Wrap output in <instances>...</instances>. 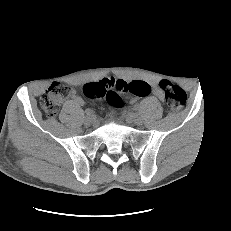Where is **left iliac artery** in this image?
Segmentation results:
<instances>
[{"mask_svg":"<svg viewBox=\"0 0 231 231\" xmlns=\"http://www.w3.org/2000/svg\"><path fill=\"white\" fill-rule=\"evenodd\" d=\"M139 109H140V106L138 104H135V105L132 106V111L133 112H138Z\"/></svg>","mask_w":231,"mask_h":231,"instance_id":"1","label":"left iliac artery"}]
</instances>
